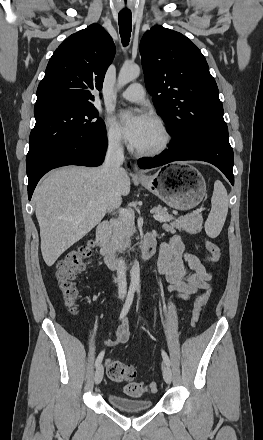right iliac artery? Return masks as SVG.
Here are the masks:
<instances>
[{
	"label": "right iliac artery",
	"instance_id": "right-iliac-artery-1",
	"mask_svg": "<svg viewBox=\"0 0 263 440\" xmlns=\"http://www.w3.org/2000/svg\"><path fill=\"white\" fill-rule=\"evenodd\" d=\"M134 293H135V289L134 288H130L129 291H128V295H127L126 301H125V303L123 305V308H122V311H121V314H120V318H119L120 320L123 319L127 315V313L129 312L131 304L133 302ZM103 357H104V350L100 352V354L98 355V357H97V359L95 361V366L96 367H98V365L101 364V362L103 360Z\"/></svg>",
	"mask_w": 263,
	"mask_h": 440
}]
</instances>
